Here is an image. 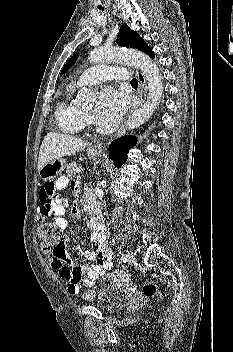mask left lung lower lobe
Wrapping results in <instances>:
<instances>
[{
  "mask_svg": "<svg viewBox=\"0 0 233 352\" xmlns=\"http://www.w3.org/2000/svg\"><path fill=\"white\" fill-rule=\"evenodd\" d=\"M136 144L134 136H122L114 140L109 146V157L113 159L114 164L120 167L127 160V153L130 148Z\"/></svg>",
  "mask_w": 233,
  "mask_h": 352,
  "instance_id": "1",
  "label": "left lung lower lobe"
}]
</instances>
